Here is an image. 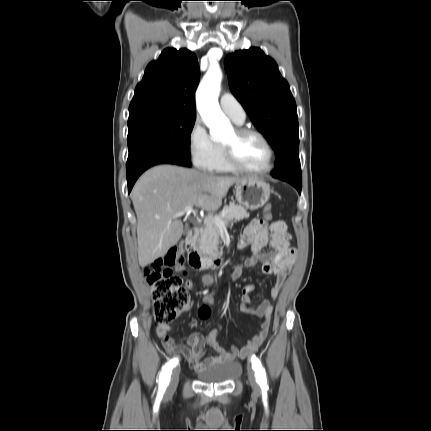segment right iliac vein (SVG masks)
Returning <instances> with one entry per match:
<instances>
[{
	"label": "right iliac vein",
	"mask_w": 431,
	"mask_h": 431,
	"mask_svg": "<svg viewBox=\"0 0 431 431\" xmlns=\"http://www.w3.org/2000/svg\"><path fill=\"white\" fill-rule=\"evenodd\" d=\"M179 374H180V368L176 367L173 370V372H172L170 384H169V387H168V391L169 392L173 391L177 387V384H178V381H179Z\"/></svg>",
	"instance_id": "1"
}]
</instances>
